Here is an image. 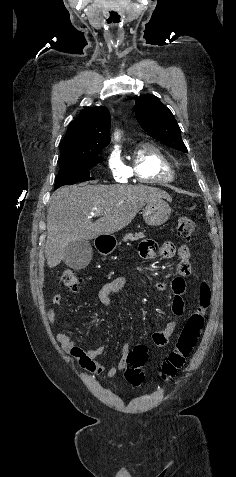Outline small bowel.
Returning <instances> with one entry per match:
<instances>
[{"instance_id":"c3829d8e","label":"small bowel","mask_w":236,"mask_h":477,"mask_svg":"<svg viewBox=\"0 0 236 477\" xmlns=\"http://www.w3.org/2000/svg\"><path fill=\"white\" fill-rule=\"evenodd\" d=\"M140 255L146 259H151L156 256H159L162 259H170L175 255L178 256L179 264L177 267V276L171 283L173 293L171 308L175 317H181L185 310L183 299L185 283L183 278L188 276L192 269L190 250L188 246L181 245L179 248H176L172 242L166 241L158 248L153 241L145 240L140 245ZM126 284L127 279L123 276L116 277L106 282L99 292L100 303L104 306L111 305L114 296L122 290ZM154 287L156 291L161 294H164L167 289V285L162 281L155 282ZM52 303L57 307L60 306L62 303V296L60 294H55L52 298ZM47 317L51 324L55 323L56 314L52 307L47 309ZM176 327V320H172L162 329L154 332L152 336L153 344L158 348L165 347L176 330ZM56 338L62 348L77 360L80 367L95 374H101L105 371L104 366L97 361L98 356L104 352L103 346L84 350L77 346L70 336L65 333H58ZM128 353L129 345H123L121 348V357L118 363L107 370V376L109 378L115 377L120 370L126 367Z\"/></svg>"}]
</instances>
